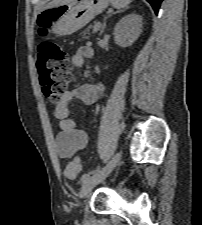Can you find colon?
<instances>
[{
	"label": "colon",
	"mask_w": 202,
	"mask_h": 225,
	"mask_svg": "<svg viewBox=\"0 0 202 225\" xmlns=\"http://www.w3.org/2000/svg\"><path fill=\"white\" fill-rule=\"evenodd\" d=\"M54 13L51 10L38 14L37 23L41 35H44ZM40 55L38 71L39 81L46 101L50 104L58 103L72 80V65L68 55L56 43L43 41L38 45ZM81 172L77 161L69 163L66 175L76 177Z\"/></svg>",
	"instance_id": "5ec220e1"
}]
</instances>
